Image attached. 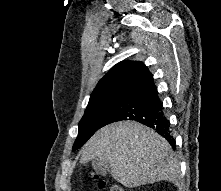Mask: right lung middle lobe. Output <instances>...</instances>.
Masks as SVG:
<instances>
[{
    "mask_svg": "<svg viewBox=\"0 0 221 191\" xmlns=\"http://www.w3.org/2000/svg\"><path fill=\"white\" fill-rule=\"evenodd\" d=\"M120 99H114L103 103L87 106L82 119L79 122V133L73 145V150L86 143V141L99 129L109 116L112 109Z\"/></svg>",
    "mask_w": 221,
    "mask_h": 191,
    "instance_id": "1",
    "label": "right lung middle lobe"
}]
</instances>
